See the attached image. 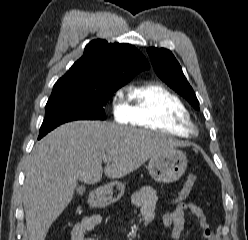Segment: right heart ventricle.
Returning a JSON list of instances; mask_svg holds the SVG:
<instances>
[{"instance_id": "1", "label": "right heart ventricle", "mask_w": 248, "mask_h": 240, "mask_svg": "<svg viewBox=\"0 0 248 240\" xmlns=\"http://www.w3.org/2000/svg\"><path fill=\"white\" fill-rule=\"evenodd\" d=\"M128 123L180 138L194 133L190 113L181 98L159 83H143L128 95Z\"/></svg>"}]
</instances>
